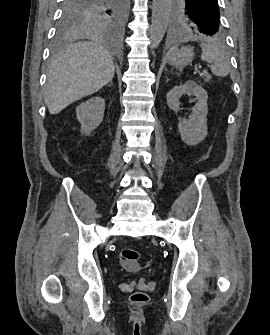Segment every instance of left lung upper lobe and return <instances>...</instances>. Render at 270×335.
Wrapping results in <instances>:
<instances>
[{"mask_svg":"<svg viewBox=\"0 0 270 335\" xmlns=\"http://www.w3.org/2000/svg\"><path fill=\"white\" fill-rule=\"evenodd\" d=\"M175 16L187 30L208 36H217L222 32L217 0H177Z\"/></svg>","mask_w":270,"mask_h":335,"instance_id":"left-lung-upper-lobe-1","label":"left lung upper lobe"}]
</instances>
